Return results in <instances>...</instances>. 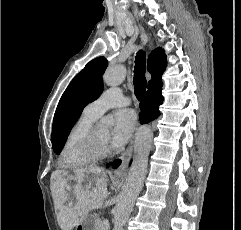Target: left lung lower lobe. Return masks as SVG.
<instances>
[{
  "label": "left lung lower lobe",
  "instance_id": "left-lung-lower-lobe-1",
  "mask_svg": "<svg viewBox=\"0 0 241 230\" xmlns=\"http://www.w3.org/2000/svg\"><path fill=\"white\" fill-rule=\"evenodd\" d=\"M120 164H121V160H115V161L112 163V167H113V168H117ZM107 166H109V164H108Z\"/></svg>",
  "mask_w": 241,
  "mask_h": 230
}]
</instances>
